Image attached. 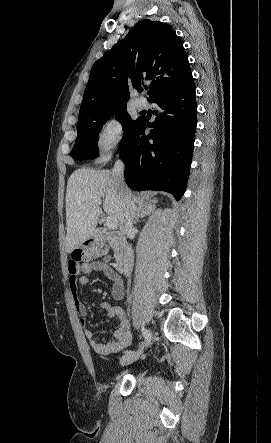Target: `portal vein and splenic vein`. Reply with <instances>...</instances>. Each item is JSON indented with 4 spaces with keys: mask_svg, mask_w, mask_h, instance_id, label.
<instances>
[{
    "mask_svg": "<svg viewBox=\"0 0 271 443\" xmlns=\"http://www.w3.org/2000/svg\"><path fill=\"white\" fill-rule=\"evenodd\" d=\"M93 204H96V206H101L102 202L101 200H95ZM105 223L107 227H109V229H116L118 225L116 218H113V216H109V218H107Z\"/></svg>",
    "mask_w": 271,
    "mask_h": 443,
    "instance_id": "1",
    "label": "portal vein and splenic vein"
}]
</instances>
